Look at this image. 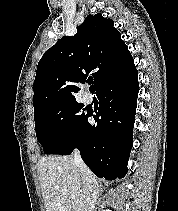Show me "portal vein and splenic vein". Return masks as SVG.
<instances>
[{
  "instance_id": "obj_1",
  "label": "portal vein and splenic vein",
  "mask_w": 178,
  "mask_h": 211,
  "mask_svg": "<svg viewBox=\"0 0 178 211\" xmlns=\"http://www.w3.org/2000/svg\"><path fill=\"white\" fill-rule=\"evenodd\" d=\"M70 198H71V200H75V196L74 195H71Z\"/></svg>"
}]
</instances>
